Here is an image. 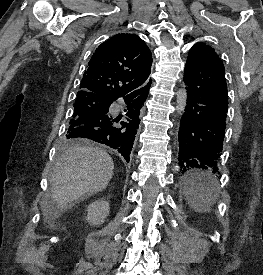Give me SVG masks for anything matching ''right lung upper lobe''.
Segmentation results:
<instances>
[{
    "instance_id": "obj_1",
    "label": "right lung upper lobe",
    "mask_w": 263,
    "mask_h": 275,
    "mask_svg": "<svg viewBox=\"0 0 263 275\" xmlns=\"http://www.w3.org/2000/svg\"><path fill=\"white\" fill-rule=\"evenodd\" d=\"M151 65V51L141 38L114 35L95 50L77 96L93 94L108 101L127 97L145 87Z\"/></svg>"
}]
</instances>
